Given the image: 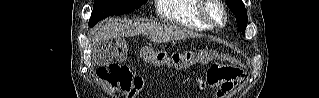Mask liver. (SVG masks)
I'll list each match as a JSON object with an SVG mask.
<instances>
[{
	"label": "liver",
	"instance_id": "6515ba94",
	"mask_svg": "<svg viewBox=\"0 0 319 98\" xmlns=\"http://www.w3.org/2000/svg\"><path fill=\"white\" fill-rule=\"evenodd\" d=\"M139 34L150 36L154 43L172 42L198 36L190 30L174 25L144 22L121 23L110 20L105 25L95 28L92 43L96 47L116 37H134Z\"/></svg>",
	"mask_w": 319,
	"mask_h": 98
}]
</instances>
